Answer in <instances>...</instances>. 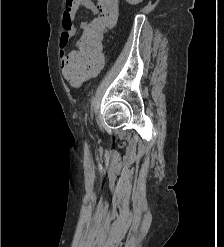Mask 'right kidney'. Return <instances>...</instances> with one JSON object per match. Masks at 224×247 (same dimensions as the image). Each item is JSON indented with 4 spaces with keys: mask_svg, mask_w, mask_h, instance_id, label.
Here are the masks:
<instances>
[{
    "mask_svg": "<svg viewBox=\"0 0 224 247\" xmlns=\"http://www.w3.org/2000/svg\"><path fill=\"white\" fill-rule=\"evenodd\" d=\"M126 2H128V4H131V6H137V4H141L143 0H126Z\"/></svg>",
    "mask_w": 224,
    "mask_h": 247,
    "instance_id": "1",
    "label": "right kidney"
}]
</instances>
